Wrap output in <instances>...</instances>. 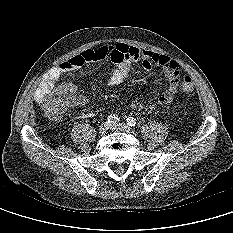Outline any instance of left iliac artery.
Instances as JSON below:
<instances>
[{
  "mask_svg": "<svg viewBox=\"0 0 233 233\" xmlns=\"http://www.w3.org/2000/svg\"><path fill=\"white\" fill-rule=\"evenodd\" d=\"M127 125H129V126H135L136 125V119L134 118V117H129L128 119H127Z\"/></svg>",
  "mask_w": 233,
  "mask_h": 233,
  "instance_id": "1",
  "label": "left iliac artery"
}]
</instances>
